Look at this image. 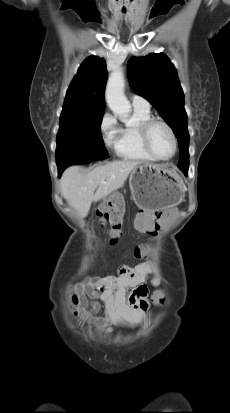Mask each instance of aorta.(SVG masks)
Instances as JSON below:
<instances>
[{"label":"aorta","instance_id":"1","mask_svg":"<svg viewBox=\"0 0 230 413\" xmlns=\"http://www.w3.org/2000/svg\"><path fill=\"white\" fill-rule=\"evenodd\" d=\"M124 75L120 67L109 76L105 98L110 110L125 124L130 123L131 105L124 94Z\"/></svg>","mask_w":230,"mask_h":413}]
</instances>
